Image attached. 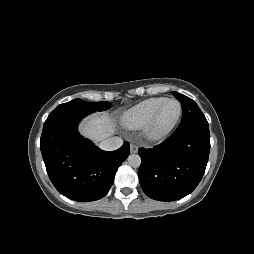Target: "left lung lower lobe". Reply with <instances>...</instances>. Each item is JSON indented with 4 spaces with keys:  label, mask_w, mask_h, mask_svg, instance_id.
<instances>
[{
    "label": "left lung lower lobe",
    "mask_w": 254,
    "mask_h": 254,
    "mask_svg": "<svg viewBox=\"0 0 254 254\" xmlns=\"http://www.w3.org/2000/svg\"><path fill=\"white\" fill-rule=\"evenodd\" d=\"M209 151L208 122L179 125L160 145L140 148L138 176L143 191L159 201H175L190 194L203 177Z\"/></svg>",
    "instance_id": "0a47b994"
}]
</instances>
